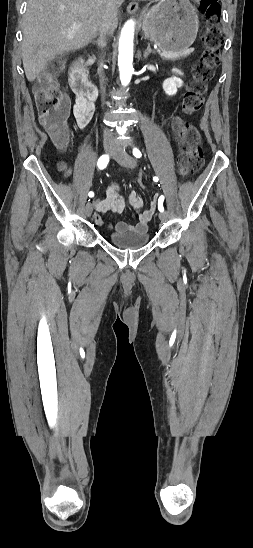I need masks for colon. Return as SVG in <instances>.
<instances>
[{"mask_svg": "<svg viewBox=\"0 0 253 548\" xmlns=\"http://www.w3.org/2000/svg\"><path fill=\"white\" fill-rule=\"evenodd\" d=\"M201 10L207 17L203 34L204 51L198 63L193 67V78L182 98V110L187 115L197 113L204 101L207 82L213 77L214 70L220 61V48L223 36L220 30V4L218 0H198ZM59 64L47 67L37 78L33 92L39 119L42 125L54 136L57 143L64 146L68 139L67 118L69 103L60 91L56 74ZM173 129L178 136L180 154L178 158L179 173L188 177L198 172L204 163L200 145V135L196 128L180 117L173 120ZM137 181L139 189L146 190L145 174L141 170Z\"/></svg>", "mask_w": 253, "mask_h": 548, "instance_id": "obj_1", "label": "colon"}]
</instances>
